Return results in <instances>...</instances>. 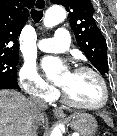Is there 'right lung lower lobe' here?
Returning a JSON list of instances; mask_svg holds the SVG:
<instances>
[{
  "label": "right lung lower lobe",
  "instance_id": "right-lung-lower-lobe-1",
  "mask_svg": "<svg viewBox=\"0 0 117 136\" xmlns=\"http://www.w3.org/2000/svg\"><path fill=\"white\" fill-rule=\"evenodd\" d=\"M5 88L8 89L16 88L20 90L17 80H13V79L0 80V89H5Z\"/></svg>",
  "mask_w": 117,
  "mask_h": 136
}]
</instances>
